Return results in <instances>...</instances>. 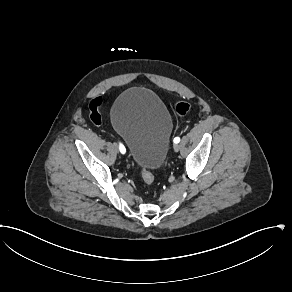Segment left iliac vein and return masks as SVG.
I'll list each match as a JSON object with an SVG mask.
<instances>
[{
	"instance_id": "1",
	"label": "left iliac vein",
	"mask_w": 292,
	"mask_h": 292,
	"mask_svg": "<svg viewBox=\"0 0 292 292\" xmlns=\"http://www.w3.org/2000/svg\"><path fill=\"white\" fill-rule=\"evenodd\" d=\"M173 148H174L175 152H178L180 150V145L179 144H174Z\"/></svg>"
}]
</instances>
